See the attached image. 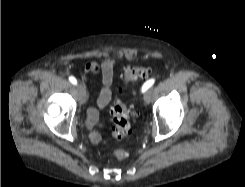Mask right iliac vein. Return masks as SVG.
Returning a JSON list of instances; mask_svg holds the SVG:
<instances>
[{
	"instance_id": "obj_1",
	"label": "right iliac vein",
	"mask_w": 245,
	"mask_h": 187,
	"mask_svg": "<svg viewBox=\"0 0 245 187\" xmlns=\"http://www.w3.org/2000/svg\"><path fill=\"white\" fill-rule=\"evenodd\" d=\"M76 92H77L79 103L84 104L86 101V90H85V88L81 84H78L76 86Z\"/></svg>"
}]
</instances>
